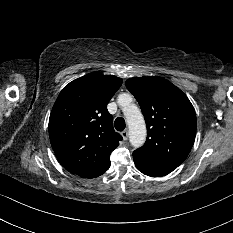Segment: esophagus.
<instances>
[{
    "mask_svg": "<svg viewBox=\"0 0 233 233\" xmlns=\"http://www.w3.org/2000/svg\"><path fill=\"white\" fill-rule=\"evenodd\" d=\"M121 135H122V137H123L124 140H127L128 139V130L125 129L124 131H122Z\"/></svg>",
    "mask_w": 233,
    "mask_h": 233,
    "instance_id": "esophagus-1",
    "label": "esophagus"
}]
</instances>
